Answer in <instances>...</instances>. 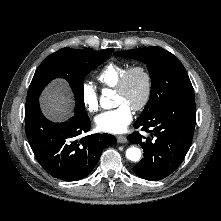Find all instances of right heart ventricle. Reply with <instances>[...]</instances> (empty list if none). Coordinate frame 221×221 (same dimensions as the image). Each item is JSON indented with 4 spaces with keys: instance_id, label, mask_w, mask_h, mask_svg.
Masks as SVG:
<instances>
[{
    "instance_id": "right-heart-ventricle-1",
    "label": "right heart ventricle",
    "mask_w": 221,
    "mask_h": 221,
    "mask_svg": "<svg viewBox=\"0 0 221 221\" xmlns=\"http://www.w3.org/2000/svg\"><path fill=\"white\" fill-rule=\"evenodd\" d=\"M127 68L128 65L126 64L109 62L100 71L97 79L104 87L115 88L119 79Z\"/></svg>"
}]
</instances>
